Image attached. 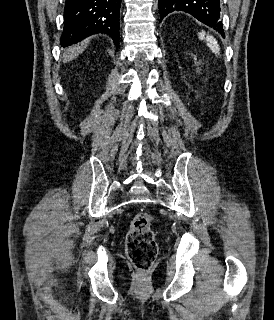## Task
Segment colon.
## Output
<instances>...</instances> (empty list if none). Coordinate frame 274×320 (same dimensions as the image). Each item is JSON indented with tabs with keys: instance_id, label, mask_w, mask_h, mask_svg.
I'll return each mask as SVG.
<instances>
[{
	"instance_id": "5ec220e1",
	"label": "colon",
	"mask_w": 274,
	"mask_h": 320,
	"mask_svg": "<svg viewBox=\"0 0 274 320\" xmlns=\"http://www.w3.org/2000/svg\"><path fill=\"white\" fill-rule=\"evenodd\" d=\"M149 213L141 211L130 222L126 233V248L134 269L141 273L149 272L157 254V242L151 227Z\"/></svg>"
}]
</instances>
